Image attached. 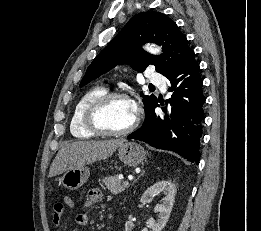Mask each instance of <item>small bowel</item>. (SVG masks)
<instances>
[{"instance_id":"obj_1","label":"small bowel","mask_w":261,"mask_h":231,"mask_svg":"<svg viewBox=\"0 0 261 231\" xmlns=\"http://www.w3.org/2000/svg\"><path fill=\"white\" fill-rule=\"evenodd\" d=\"M103 200V194L100 190L94 189L91 190L86 198V201L81 208V210L77 213L75 221L79 226H86L89 223V217L87 214V209L94 203L100 202ZM64 208L61 204H56L53 209V222L56 226L61 223L62 214Z\"/></svg>"}]
</instances>
